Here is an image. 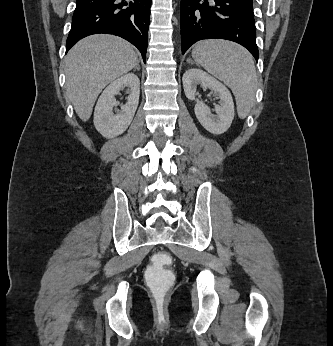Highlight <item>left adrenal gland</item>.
Here are the masks:
<instances>
[{
  "label": "left adrenal gland",
  "instance_id": "1",
  "mask_svg": "<svg viewBox=\"0 0 333 346\" xmlns=\"http://www.w3.org/2000/svg\"><path fill=\"white\" fill-rule=\"evenodd\" d=\"M187 63H193L192 59H191V58H188V59H187Z\"/></svg>",
  "mask_w": 333,
  "mask_h": 346
}]
</instances>
